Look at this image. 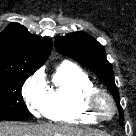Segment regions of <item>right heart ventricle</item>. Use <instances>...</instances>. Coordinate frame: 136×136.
I'll list each match as a JSON object with an SVG mask.
<instances>
[{"label": "right heart ventricle", "mask_w": 136, "mask_h": 136, "mask_svg": "<svg viewBox=\"0 0 136 136\" xmlns=\"http://www.w3.org/2000/svg\"><path fill=\"white\" fill-rule=\"evenodd\" d=\"M96 89L95 83L81 68L63 62L53 74L43 115L59 123L96 124L98 120L85 107L87 95Z\"/></svg>", "instance_id": "obj_1"}]
</instances>
